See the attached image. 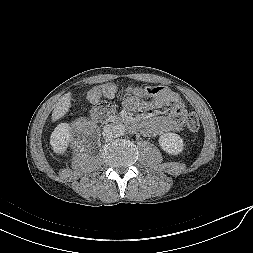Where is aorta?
<instances>
[{
  "label": "aorta",
  "instance_id": "762f6f07",
  "mask_svg": "<svg viewBox=\"0 0 253 253\" xmlns=\"http://www.w3.org/2000/svg\"><path fill=\"white\" fill-rule=\"evenodd\" d=\"M125 126L123 124H117L114 126V132L116 136H123L125 134Z\"/></svg>",
  "mask_w": 253,
  "mask_h": 253
}]
</instances>
